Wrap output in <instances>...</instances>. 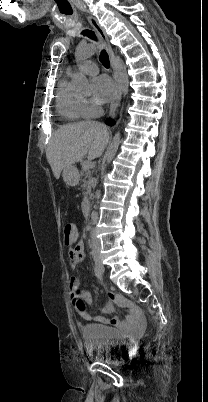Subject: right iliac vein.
<instances>
[{"label":"right iliac vein","mask_w":208,"mask_h":402,"mask_svg":"<svg viewBox=\"0 0 208 402\" xmlns=\"http://www.w3.org/2000/svg\"><path fill=\"white\" fill-rule=\"evenodd\" d=\"M95 263H96L97 267L100 269L101 273H104V267H103V264H102L100 258L96 257Z\"/></svg>","instance_id":"obj_1"}]
</instances>
